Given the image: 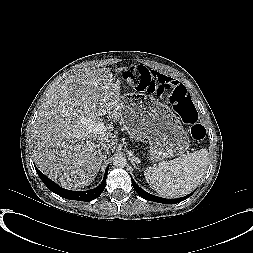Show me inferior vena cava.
<instances>
[{
  "label": "inferior vena cava",
  "mask_w": 253,
  "mask_h": 253,
  "mask_svg": "<svg viewBox=\"0 0 253 253\" xmlns=\"http://www.w3.org/2000/svg\"><path fill=\"white\" fill-rule=\"evenodd\" d=\"M110 148H112L111 145H105L104 147L105 151H108Z\"/></svg>",
  "instance_id": "602c4592"
}]
</instances>
